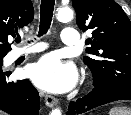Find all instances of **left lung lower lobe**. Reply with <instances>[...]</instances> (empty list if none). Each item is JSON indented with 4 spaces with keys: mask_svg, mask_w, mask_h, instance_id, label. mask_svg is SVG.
I'll use <instances>...</instances> for the list:
<instances>
[{
    "mask_svg": "<svg viewBox=\"0 0 131 115\" xmlns=\"http://www.w3.org/2000/svg\"><path fill=\"white\" fill-rule=\"evenodd\" d=\"M117 100H131V90L95 87L84 98H80L76 102H70L67 115H79L95 107Z\"/></svg>",
    "mask_w": 131,
    "mask_h": 115,
    "instance_id": "obj_1",
    "label": "left lung lower lobe"
}]
</instances>
